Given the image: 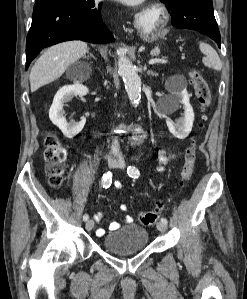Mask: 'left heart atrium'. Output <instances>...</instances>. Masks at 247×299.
<instances>
[{
    "label": "left heart atrium",
    "instance_id": "1",
    "mask_svg": "<svg viewBox=\"0 0 247 299\" xmlns=\"http://www.w3.org/2000/svg\"><path fill=\"white\" fill-rule=\"evenodd\" d=\"M118 1H122L125 3H129V4H136V3L140 2L141 0H118Z\"/></svg>",
    "mask_w": 247,
    "mask_h": 299
}]
</instances>
